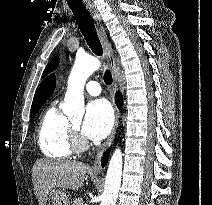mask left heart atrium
Returning <instances> with one entry per match:
<instances>
[{"label":"left heart atrium","instance_id":"39dd6f15","mask_svg":"<svg viewBox=\"0 0 212 205\" xmlns=\"http://www.w3.org/2000/svg\"><path fill=\"white\" fill-rule=\"evenodd\" d=\"M114 114L110 104L104 99L90 102L82 125L83 135L93 141L105 138L112 129Z\"/></svg>","mask_w":212,"mask_h":205}]
</instances>
